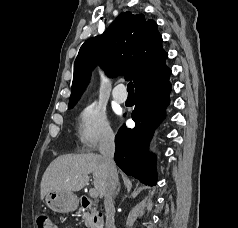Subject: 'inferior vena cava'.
<instances>
[{
  "label": "inferior vena cava",
  "mask_w": 238,
  "mask_h": 228,
  "mask_svg": "<svg viewBox=\"0 0 238 228\" xmlns=\"http://www.w3.org/2000/svg\"><path fill=\"white\" fill-rule=\"evenodd\" d=\"M99 152L104 160L108 177L104 193V206L106 211L105 228H116L114 221L115 207L113 196L118 184L117 169L114 162L115 142L114 134L108 133L99 144Z\"/></svg>",
  "instance_id": "602c4592"
}]
</instances>
